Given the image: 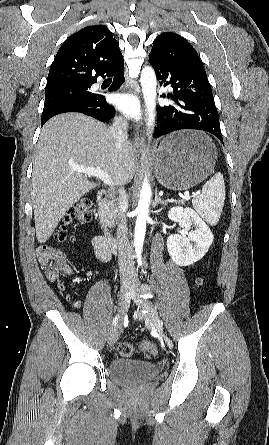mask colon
Segmentation results:
<instances>
[{
    "label": "colon",
    "instance_id": "colon-1",
    "mask_svg": "<svg viewBox=\"0 0 269 445\" xmlns=\"http://www.w3.org/2000/svg\"><path fill=\"white\" fill-rule=\"evenodd\" d=\"M91 201L83 198L74 203L63 220V226L56 232L55 240L59 245H63L72 240V235L68 229L74 224H85L91 220ZM37 257L41 265L45 268L51 280L56 281L59 274L67 268L66 254L55 245L44 244L38 247ZM198 284L201 280L198 279ZM140 347L150 354L155 353V347L151 342L145 341ZM136 352L135 346L130 342H123L119 346V353L123 357H132Z\"/></svg>",
    "mask_w": 269,
    "mask_h": 445
}]
</instances>
